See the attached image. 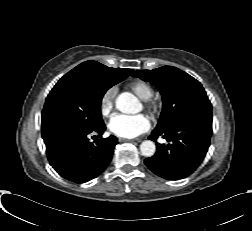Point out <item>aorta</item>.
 Wrapping results in <instances>:
<instances>
[{
  "label": "aorta",
  "instance_id": "aorta-1",
  "mask_svg": "<svg viewBox=\"0 0 252 231\" xmlns=\"http://www.w3.org/2000/svg\"><path fill=\"white\" fill-rule=\"evenodd\" d=\"M116 108L125 114H134L139 110V101L131 93L124 92L116 99ZM141 154L145 157H152L155 154L156 146L151 140H145L140 145Z\"/></svg>",
  "mask_w": 252,
  "mask_h": 231
}]
</instances>
